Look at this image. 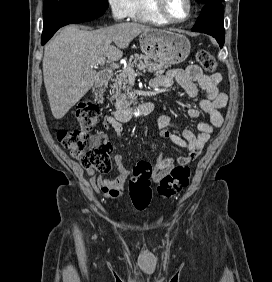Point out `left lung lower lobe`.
Listing matches in <instances>:
<instances>
[{"mask_svg":"<svg viewBox=\"0 0 272 282\" xmlns=\"http://www.w3.org/2000/svg\"><path fill=\"white\" fill-rule=\"evenodd\" d=\"M224 12L221 3L204 4L203 10L192 31L209 34L217 39L220 48L224 45Z\"/></svg>","mask_w":272,"mask_h":282,"instance_id":"0a47b994","label":"left lung lower lobe"}]
</instances>
